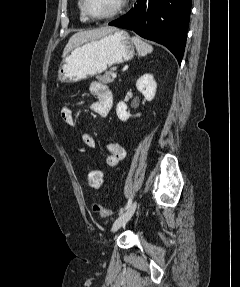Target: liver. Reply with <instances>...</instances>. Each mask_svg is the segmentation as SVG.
Here are the masks:
<instances>
[{
	"mask_svg": "<svg viewBox=\"0 0 240 287\" xmlns=\"http://www.w3.org/2000/svg\"><path fill=\"white\" fill-rule=\"evenodd\" d=\"M117 28L112 26H104L97 29H91L86 31H80L72 35L66 44L64 51H63V57L69 53L72 49L75 47L88 42L90 40H94L97 38H100L112 31H115Z\"/></svg>",
	"mask_w": 240,
	"mask_h": 287,
	"instance_id": "obj_1",
	"label": "liver"
}]
</instances>
